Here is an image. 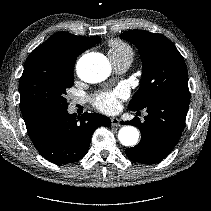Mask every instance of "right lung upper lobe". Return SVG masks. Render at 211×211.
<instances>
[{
  "mask_svg": "<svg viewBox=\"0 0 211 211\" xmlns=\"http://www.w3.org/2000/svg\"><path fill=\"white\" fill-rule=\"evenodd\" d=\"M100 37H80L70 33L59 32L53 34L34 51H46L56 61L74 66L76 58L84 51L90 49L99 41ZM25 124L36 117L23 115Z\"/></svg>",
  "mask_w": 211,
  "mask_h": 211,
  "instance_id": "cb5924a9",
  "label": "right lung upper lobe"
}]
</instances>
